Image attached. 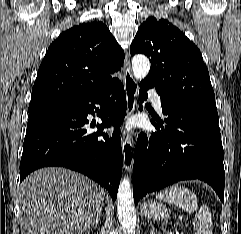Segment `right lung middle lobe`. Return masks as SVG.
Instances as JSON below:
<instances>
[{
    "label": "right lung middle lobe",
    "instance_id": "obj_1",
    "mask_svg": "<svg viewBox=\"0 0 241 234\" xmlns=\"http://www.w3.org/2000/svg\"><path fill=\"white\" fill-rule=\"evenodd\" d=\"M60 105H63V104L46 103V104L29 105L28 111L34 112V111H38V110L53 108V107L60 106Z\"/></svg>",
    "mask_w": 241,
    "mask_h": 234
}]
</instances>
